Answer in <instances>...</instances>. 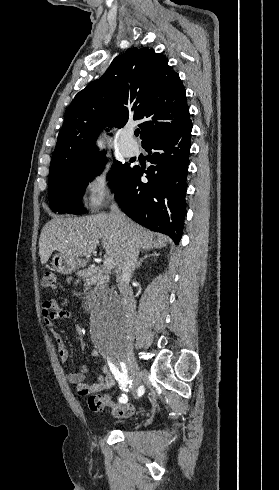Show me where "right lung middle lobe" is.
Instances as JSON below:
<instances>
[{
  "label": "right lung middle lobe",
  "instance_id": "right-lung-middle-lobe-1",
  "mask_svg": "<svg viewBox=\"0 0 279 490\" xmlns=\"http://www.w3.org/2000/svg\"><path fill=\"white\" fill-rule=\"evenodd\" d=\"M105 161V157L100 155L89 162L49 178L48 191L52 211L60 214L65 212L72 214L85 213L81 205L76 202L81 199L88 183L103 169ZM131 169L127 163L115 162L114 170L108 174L115 192L122 185Z\"/></svg>",
  "mask_w": 279,
  "mask_h": 490
}]
</instances>
